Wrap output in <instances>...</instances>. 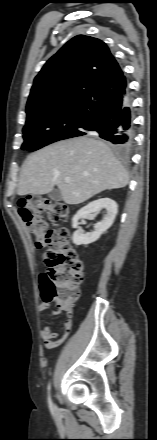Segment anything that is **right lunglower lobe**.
I'll list each match as a JSON object with an SVG mask.
<instances>
[{
    "label": "right lung lower lobe",
    "instance_id": "1",
    "mask_svg": "<svg viewBox=\"0 0 157 440\" xmlns=\"http://www.w3.org/2000/svg\"><path fill=\"white\" fill-rule=\"evenodd\" d=\"M84 132L96 131L99 136L122 150H129L134 141L132 108L129 95L118 105L103 110L84 124Z\"/></svg>",
    "mask_w": 157,
    "mask_h": 440
}]
</instances>
